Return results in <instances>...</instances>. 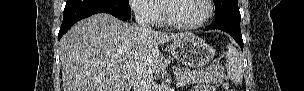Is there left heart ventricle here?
<instances>
[{
    "mask_svg": "<svg viewBox=\"0 0 304 91\" xmlns=\"http://www.w3.org/2000/svg\"><path fill=\"white\" fill-rule=\"evenodd\" d=\"M206 11L203 0H177L170 3L171 16L181 23H196L205 16Z\"/></svg>",
    "mask_w": 304,
    "mask_h": 91,
    "instance_id": "left-heart-ventricle-1",
    "label": "left heart ventricle"
}]
</instances>
